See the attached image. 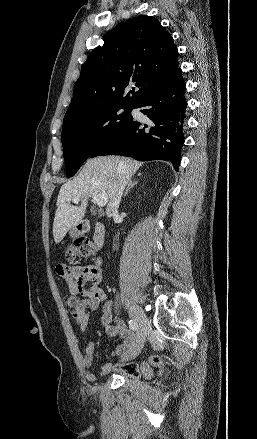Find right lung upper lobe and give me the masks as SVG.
I'll return each mask as SVG.
<instances>
[{
	"mask_svg": "<svg viewBox=\"0 0 257 439\" xmlns=\"http://www.w3.org/2000/svg\"><path fill=\"white\" fill-rule=\"evenodd\" d=\"M177 55L171 34L154 17L121 22L84 63L64 120L111 105L136 107L178 69ZM130 84L133 95L123 96Z\"/></svg>",
	"mask_w": 257,
	"mask_h": 439,
	"instance_id": "1",
	"label": "right lung upper lobe"
}]
</instances>
